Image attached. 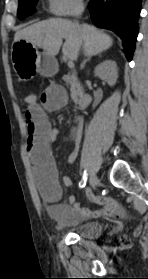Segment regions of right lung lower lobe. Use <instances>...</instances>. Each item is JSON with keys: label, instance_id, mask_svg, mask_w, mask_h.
<instances>
[{"label": "right lung lower lobe", "instance_id": "1", "mask_svg": "<svg viewBox=\"0 0 148 279\" xmlns=\"http://www.w3.org/2000/svg\"><path fill=\"white\" fill-rule=\"evenodd\" d=\"M142 0H91V19L98 27L113 30L123 40L126 58L131 61L138 35Z\"/></svg>", "mask_w": 148, "mask_h": 279}]
</instances>
